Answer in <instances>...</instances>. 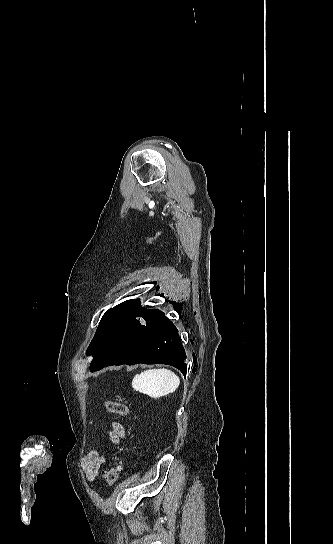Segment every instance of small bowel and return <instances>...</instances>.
I'll return each mask as SVG.
<instances>
[{"mask_svg": "<svg viewBox=\"0 0 333 544\" xmlns=\"http://www.w3.org/2000/svg\"><path fill=\"white\" fill-rule=\"evenodd\" d=\"M124 429L122 425L114 422L111 430L109 431L110 440L118 444L122 438H124ZM105 463V458L101 456L97 450L90 451L83 459L82 467L85 472L86 479L93 481L99 474L101 466Z\"/></svg>", "mask_w": 333, "mask_h": 544, "instance_id": "small-bowel-1", "label": "small bowel"}]
</instances>
